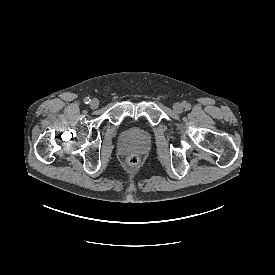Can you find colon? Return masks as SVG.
Listing matches in <instances>:
<instances>
[{"label": "colon", "instance_id": "5ec220e1", "mask_svg": "<svg viewBox=\"0 0 275 275\" xmlns=\"http://www.w3.org/2000/svg\"><path fill=\"white\" fill-rule=\"evenodd\" d=\"M139 162V157L138 155H132L129 157V164L132 165V166H135L137 165Z\"/></svg>", "mask_w": 275, "mask_h": 275}]
</instances>
